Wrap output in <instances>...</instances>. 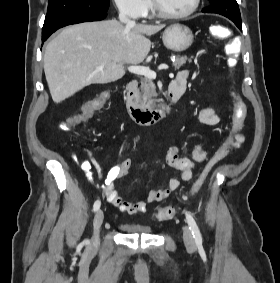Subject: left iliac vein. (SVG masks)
I'll return each mask as SVG.
<instances>
[{"label":"left iliac vein","mask_w":280,"mask_h":283,"mask_svg":"<svg viewBox=\"0 0 280 283\" xmlns=\"http://www.w3.org/2000/svg\"><path fill=\"white\" fill-rule=\"evenodd\" d=\"M183 240L187 247L189 248L195 247L194 238L188 226H184L183 228Z\"/></svg>","instance_id":"4c4485c4"}]
</instances>
